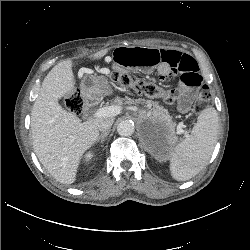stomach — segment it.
<instances>
[{
  "label": "stomach",
  "mask_w": 250,
  "mask_h": 250,
  "mask_svg": "<svg viewBox=\"0 0 250 250\" xmlns=\"http://www.w3.org/2000/svg\"><path fill=\"white\" fill-rule=\"evenodd\" d=\"M112 93V88L106 78L93 76L81 85V96L85 100H94Z\"/></svg>",
  "instance_id": "obj_1"
}]
</instances>
